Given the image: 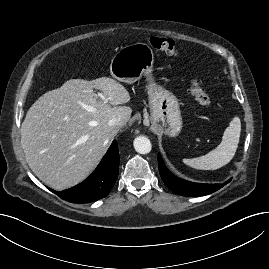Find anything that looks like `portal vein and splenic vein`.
<instances>
[{"instance_id":"18ae733b","label":"portal vein and splenic vein","mask_w":269,"mask_h":269,"mask_svg":"<svg viewBox=\"0 0 269 269\" xmlns=\"http://www.w3.org/2000/svg\"><path fill=\"white\" fill-rule=\"evenodd\" d=\"M98 96L103 100L106 101V98L104 97V95L102 93H98Z\"/></svg>"}]
</instances>
